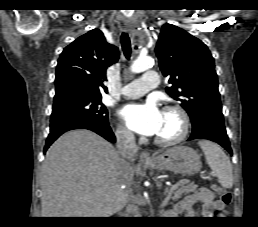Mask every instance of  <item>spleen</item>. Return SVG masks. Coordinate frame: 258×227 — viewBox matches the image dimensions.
Segmentation results:
<instances>
[{
	"label": "spleen",
	"instance_id": "3e777b00",
	"mask_svg": "<svg viewBox=\"0 0 258 227\" xmlns=\"http://www.w3.org/2000/svg\"><path fill=\"white\" fill-rule=\"evenodd\" d=\"M198 145L202 149L208 165L218 177L221 186L231 188L233 186L232 165L223 150L208 140H201Z\"/></svg>",
	"mask_w": 258,
	"mask_h": 227
}]
</instances>
